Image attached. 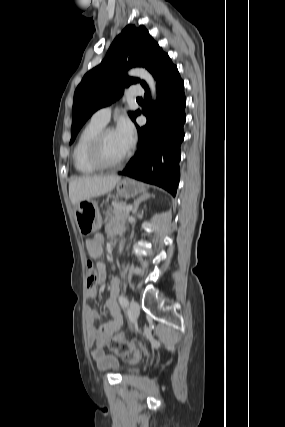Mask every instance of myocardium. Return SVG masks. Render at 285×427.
Instances as JSON below:
<instances>
[{
	"instance_id": "myocardium-1",
	"label": "myocardium",
	"mask_w": 285,
	"mask_h": 427,
	"mask_svg": "<svg viewBox=\"0 0 285 427\" xmlns=\"http://www.w3.org/2000/svg\"><path fill=\"white\" fill-rule=\"evenodd\" d=\"M114 130L113 127H104L91 141L88 148V159L93 166L101 170L113 169L124 164L131 156V151L128 152L114 162H108L103 156V146L107 134Z\"/></svg>"
}]
</instances>
